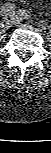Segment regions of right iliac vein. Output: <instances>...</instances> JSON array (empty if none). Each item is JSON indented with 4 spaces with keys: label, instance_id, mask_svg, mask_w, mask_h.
<instances>
[{
    "label": "right iliac vein",
    "instance_id": "right-iliac-vein-1",
    "mask_svg": "<svg viewBox=\"0 0 51 153\" xmlns=\"http://www.w3.org/2000/svg\"><path fill=\"white\" fill-rule=\"evenodd\" d=\"M13 24H14L13 19H5L4 23H3V27L6 28V29H10L13 26Z\"/></svg>",
    "mask_w": 51,
    "mask_h": 153
}]
</instances>
